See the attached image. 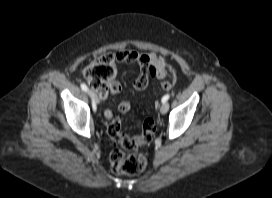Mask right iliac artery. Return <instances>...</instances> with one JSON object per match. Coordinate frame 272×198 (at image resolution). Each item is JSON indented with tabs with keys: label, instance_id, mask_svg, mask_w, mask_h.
Segmentation results:
<instances>
[{
	"label": "right iliac artery",
	"instance_id": "82829eb1",
	"mask_svg": "<svg viewBox=\"0 0 272 198\" xmlns=\"http://www.w3.org/2000/svg\"><path fill=\"white\" fill-rule=\"evenodd\" d=\"M81 89L83 90V91H85V92H87L88 91V87L86 86V84H84V83H81ZM92 106H93V110L95 111L96 110V104H95V102L93 101V104H92Z\"/></svg>",
	"mask_w": 272,
	"mask_h": 198
}]
</instances>
